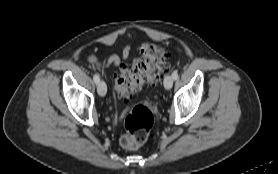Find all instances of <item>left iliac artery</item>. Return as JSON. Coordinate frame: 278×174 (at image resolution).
Returning a JSON list of instances; mask_svg holds the SVG:
<instances>
[{"instance_id": "obj_1", "label": "left iliac artery", "mask_w": 278, "mask_h": 174, "mask_svg": "<svg viewBox=\"0 0 278 174\" xmlns=\"http://www.w3.org/2000/svg\"><path fill=\"white\" fill-rule=\"evenodd\" d=\"M172 77H173L174 80H177V79H178V72H177V71H174V72L172 73Z\"/></svg>"}]
</instances>
